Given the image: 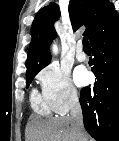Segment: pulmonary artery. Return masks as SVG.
Listing matches in <instances>:
<instances>
[{"mask_svg": "<svg viewBox=\"0 0 119 141\" xmlns=\"http://www.w3.org/2000/svg\"><path fill=\"white\" fill-rule=\"evenodd\" d=\"M76 58L78 61H85L87 59V55L83 50V45L80 42L76 46Z\"/></svg>", "mask_w": 119, "mask_h": 141, "instance_id": "1", "label": "pulmonary artery"}]
</instances>
